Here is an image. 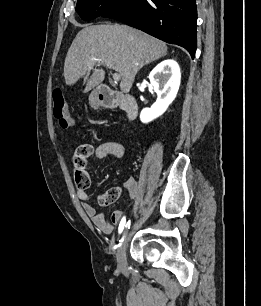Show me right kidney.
<instances>
[{"label": "right kidney", "instance_id": "ca27d5eb", "mask_svg": "<svg viewBox=\"0 0 261 306\" xmlns=\"http://www.w3.org/2000/svg\"><path fill=\"white\" fill-rule=\"evenodd\" d=\"M149 80L157 93V100L151 108L141 111L140 120L143 123L161 116L175 99L181 80L180 67L172 59L164 60L151 71Z\"/></svg>", "mask_w": 261, "mask_h": 306}]
</instances>
